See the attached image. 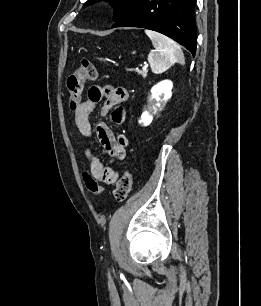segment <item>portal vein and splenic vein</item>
Masks as SVG:
<instances>
[{
	"label": "portal vein and splenic vein",
	"mask_w": 261,
	"mask_h": 306,
	"mask_svg": "<svg viewBox=\"0 0 261 306\" xmlns=\"http://www.w3.org/2000/svg\"><path fill=\"white\" fill-rule=\"evenodd\" d=\"M147 68H148V65H144V66L142 67V70H143V71H146Z\"/></svg>",
	"instance_id": "portal-vein-and-splenic-vein-1"
}]
</instances>
